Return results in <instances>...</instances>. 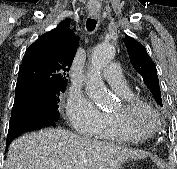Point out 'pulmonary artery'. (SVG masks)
I'll list each match as a JSON object with an SVG mask.
<instances>
[{
	"mask_svg": "<svg viewBox=\"0 0 177 169\" xmlns=\"http://www.w3.org/2000/svg\"><path fill=\"white\" fill-rule=\"evenodd\" d=\"M102 75L115 91H125L129 89L127 80L125 79L118 63H111L109 67L102 72Z\"/></svg>",
	"mask_w": 177,
	"mask_h": 169,
	"instance_id": "pulmonary-artery-1",
	"label": "pulmonary artery"
}]
</instances>
